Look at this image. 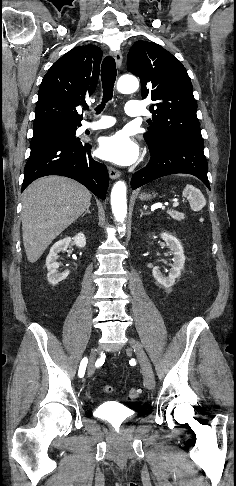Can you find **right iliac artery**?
Wrapping results in <instances>:
<instances>
[{
	"mask_svg": "<svg viewBox=\"0 0 236 486\" xmlns=\"http://www.w3.org/2000/svg\"><path fill=\"white\" fill-rule=\"evenodd\" d=\"M87 363H88V359L85 357L82 359L81 363H80V367H79V371H78V375L79 377H83L84 374H85V370H86V366H87Z\"/></svg>",
	"mask_w": 236,
	"mask_h": 486,
	"instance_id": "1",
	"label": "right iliac artery"
}]
</instances>
